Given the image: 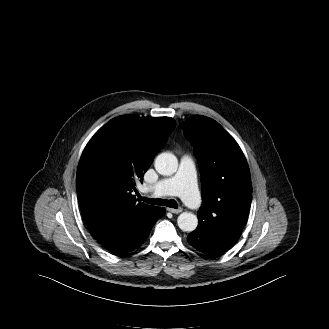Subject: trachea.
<instances>
[{"label":"trachea","instance_id":"1","mask_svg":"<svg viewBox=\"0 0 329 329\" xmlns=\"http://www.w3.org/2000/svg\"><path fill=\"white\" fill-rule=\"evenodd\" d=\"M139 200L144 201L145 203L148 204H153V205H161V206H168L170 208H178L177 202L174 199L170 200H164V199H148L146 197H142L140 194L137 195Z\"/></svg>","mask_w":329,"mask_h":329}]
</instances>
